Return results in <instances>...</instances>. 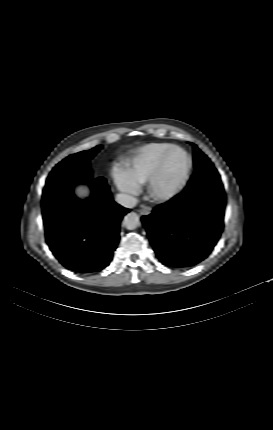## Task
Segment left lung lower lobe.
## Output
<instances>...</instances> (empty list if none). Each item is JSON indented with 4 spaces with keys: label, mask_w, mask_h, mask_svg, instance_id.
I'll return each instance as SVG.
<instances>
[{
    "label": "left lung lower lobe",
    "mask_w": 273,
    "mask_h": 430,
    "mask_svg": "<svg viewBox=\"0 0 273 430\" xmlns=\"http://www.w3.org/2000/svg\"><path fill=\"white\" fill-rule=\"evenodd\" d=\"M224 210L223 185L211 166L196 170L179 194L143 216L142 222L160 261L186 268L213 250L223 230Z\"/></svg>",
    "instance_id": "0a47b994"
}]
</instances>
